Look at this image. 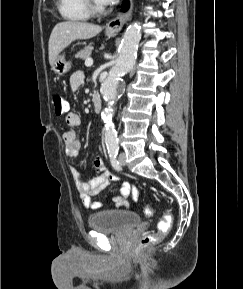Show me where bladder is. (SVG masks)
I'll return each instance as SVG.
<instances>
[{
    "label": "bladder",
    "mask_w": 243,
    "mask_h": 289,
    "mask_svg": "<svg viewBox=\"0 0 243 289\" xmlns=\"http://www.w3.org/2000/svg\"><path fill=\"white\" fill-rule=\"evenodd\" d=\"M88 223L94 230L121 234L140 225L141 218L132 211L110 209L92 214Z\"/></svg>",
    "instance_id": "31cf9c89"
}]
</instances>
